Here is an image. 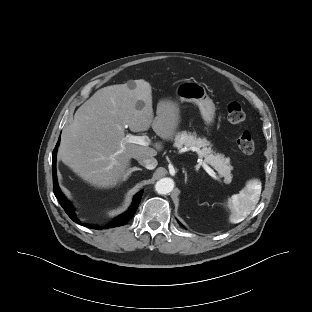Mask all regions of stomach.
<instances>
[{
	"mask_svg": "<svg viewBox=\"0 0 312 312\" xmlns=\"http://www.w3.org/2000/svg\"><path fill=\"white\" fill-rule=\"evenodd\" d=\"M176 97L181 102L195 103L207 126H211L215 118V105L206 93L204 86L196 81H184L176 88Z\"/></svg>",
	"mask_w": 312,
	"mask_h": 312,
	"instance_id": "1",
	"label": "stomach"
}]
</instances>
